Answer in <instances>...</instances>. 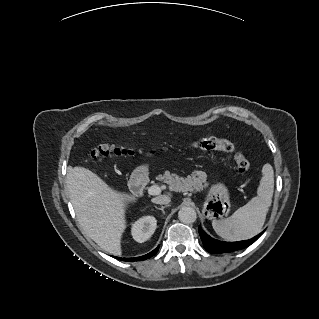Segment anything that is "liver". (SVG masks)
I'll list each match as a JSON object with an SVG mask.
<instances>
[{
  "instance_id": "liver-1",
  "label": "liver",
  "mask_w": 319,
  "mask_h": 319,
  "mask_svg": "<svg viewBox=\"0 0 319 319\" xmlns=\"http://www.w3.org/2000/svg\"><path fill=\"white\" fill-rule=\"evenodd\" d=\"M67 189L85 234L103 251L121 255L126 207L136 198L114 190L95 173L83 167L70 170Z\"/></svg>"
}]
</instances>
